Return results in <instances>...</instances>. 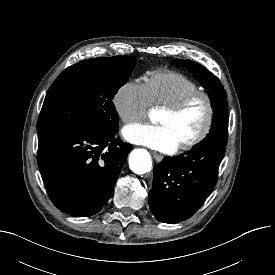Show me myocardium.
<instances>
[{"label":"myocardium","instance_id":"1","mask_svg":"<svg viewBox=\"0 0 275 275\" xmlns=\"http://www.w3.org/2000/svg\"><path fill=\"white\" fill-rule=\"evenodd\" d=\"M197 98L204 99L206 103V108H207L206 121L204 123L203 128L196 136L178 145V149L180 150L190 149L198 145L199 143H201L207 137V135L209 134L213 126V122L215 118L214 101L210 96V94H208L207 92L202 90H196L185 95L183 98H181L177 102L161 108L162 111H166L170 114L176 115L181 113L192 101H194Z\"/></svg>","mask_w":275,"mask_h":275}]
</instances>
